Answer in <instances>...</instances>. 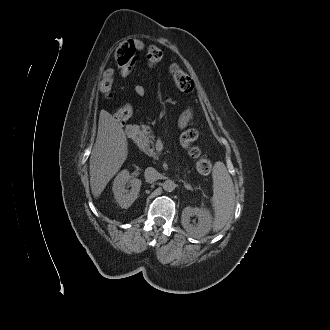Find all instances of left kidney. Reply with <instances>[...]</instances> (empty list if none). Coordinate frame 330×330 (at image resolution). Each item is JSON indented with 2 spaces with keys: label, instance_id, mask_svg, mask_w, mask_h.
Wrapping results in <instances>:
<instances>
[{
  "label": "left kidney",
  "instance_id": "left-kidney-1",
  "mask_svg": "<svg viewBox=\"0 0 330 330\" xmlns=\"http://www.w3.org/2000/svg\"><path fill=\"white\" fill-rule=\"evenodd\" d=\"M198 218L197 225L190 223V217ZM181 223L183 228L192 236L200 238L205 236L212 227V215L207 208L186 207L182 211Z\"/></svg>",
  "mask_w": 330,
  "mask_h": 330
}]
</instances>
